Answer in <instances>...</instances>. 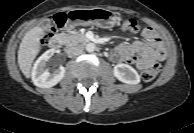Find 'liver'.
Wrapping results in <instances>:
<instances>
[{
  "label": "liver",
  "instance_id": "liver-1",
  "mask_svg": "<svg viewBox=\"0 0 194 133\" xmlns=\"http://www.w3.org/2000/svg\"><path fill=\"white\" fill-rule=\"evenodd\" d=\"M44 35L41 26L29 30L23 37L18 50V65L26 78L31 75V68L34 59L40 51V40Z\"/></svg>",
  "mask_w": 194,
  "mask_h": 133
}]
</instances>
